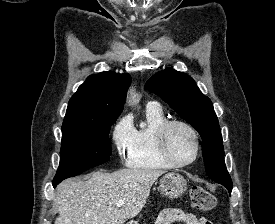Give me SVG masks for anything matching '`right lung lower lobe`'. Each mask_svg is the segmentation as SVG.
Segmentation results:
<instances>
[{"instance_id": "right-lung-lower-lobe-1", "label": "right lung lower lobe", "mask_w": 275, "mask_h": 224, "mask_svg": "<svg viewBox=\"0 0 275 224\" xmlns=\"http://www.w3.org/2000/svg\"><path fill=\"white\" fill-rule=\"evenodd\" d=\"M60 182H53V187L55 188L57 186V184H59Z\"/></svg>"}]
</instances>
